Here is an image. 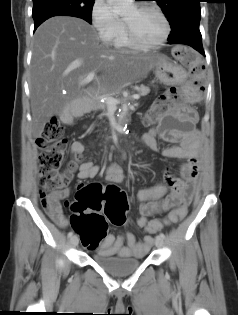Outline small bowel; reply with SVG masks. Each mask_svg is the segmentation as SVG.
<instances>
[{
    "label": "small bowel",
    "instance_id": "small-bowel-1",
    "mask_svg": "<svg viewBox=\"0 0 238 315\" xmlns=\"http://www.w3.org/2000/svg\"><path fill=\"white\" fill-rule=\"evenodd\" d=\"M157 133V129H151L146 132L142 138L143 143L153 151H159L156 142ZM162 136L166 139L179 140L178 145L166 147L161 150V153L167 157L185 160L181 166L182 177L176 178L168 170L166 171L165 180L173 188L172 194L169 197H167L168 187L165 183L138 190L137 197L142 201L139 208L140 217L137 219V225L140 228L146 227L150 215L167 212L175 205H180L186 211V206L190 202L195 190V183L199 173V135L197 131H183L179 133L177 137L170 133L163 132ZM83 150L84 145L82 142L74 141L72 143L71 155L73 157L80 155ZM99 171V166L91 161H86L80 165L77 177L80 180L92 179L98 175ZM107 178L111 181L121 182L123 180L121 169L114 164L109 166ZM68 195V189L56 191L51 195V199L54 202L49 211L50 217L57 225L62 227L68 224V220L61 213L60 201L66 199ZM168 216H170V213ZM168 216L163 220H159L162 226L163 224H169L167 221ZM124 242L126 245H123ZM153 242L154 239L151 235H146L143 241H139L131 232H126L123 236L117 238L111 234H106L97 246V251L104 256L118 255L120 257H140L146 254L153 245Z\"/></svg>",
    "mask_w": 238,
    "mask_h": 315
}]
</instances>
